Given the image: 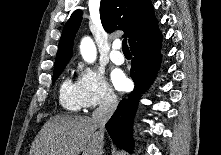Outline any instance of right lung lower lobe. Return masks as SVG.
<instances>
[{
	"label": "right lung lower lobe",
	"instance_id": "98d812e1",
	"mask_svg": "<svg viewBox=\"0 0 221 155\" xmlns=\"http://www.w3.org/2000/svg\"><path fill=\"white\" fill-rule=\"evenodd\" d=\"M163 36L155 24L139 35L130 45L133 59L130 75L135 83L134 90L123 99L115 113L106 124L113 142L129 152L133 149L132 122L137 109L138 99L144 88L153 82L161 61L159 49Z\"/></svg>",
	"mask_w": 221,
	"mask_h": 155
}]
</instances>
